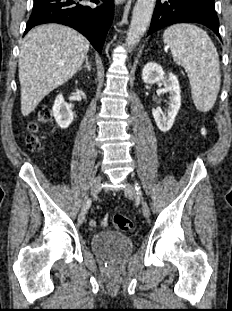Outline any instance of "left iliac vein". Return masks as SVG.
Instances as JSON below:
<instances>
[{"label":"left iliac vein","instance_id":"1","mask_svg":"<svg viewBox=\"0 0 232 311\" xmlns=\"http://www.w3.org/2000/svg\"><path fill=\"white\" fill-rule=\"evenodd\" d=\"M124 193H125L126 197H128V198H136L137 197L136 191L131 186H127L124 189ZM142 213H143L145 218H149V216H150V208H149L148 204L144 200H142Z\"/></svg>","mask_w":232,"mask_h":311}]
</instances>
